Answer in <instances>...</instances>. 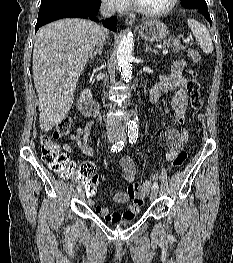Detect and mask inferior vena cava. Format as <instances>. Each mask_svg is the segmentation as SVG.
Masks as SVG:
<instances>
[{"label": "inferior vena cava", "instance_id": "1", "mask_svg": "<svg viewBox=\"0 0 233 263\" xmlns=\"http://www.w3.org/2000/svg\"><path fill=\"white\" fill-rule=\"evenodd\" d=\"M100 13L102 17L104 18L113 16L115 13V7H114L113 2L111 0H103L101 8H100ZM107 34H108L107 30L101 27V37L99 41L97 42L98 48L103 45ZM106 127L108 131H113V130L122 129L123 125L119 118L112 117L108 119Z\"/></svg>", "mask_w": 233, "mask_h": 263}]
</instances>
